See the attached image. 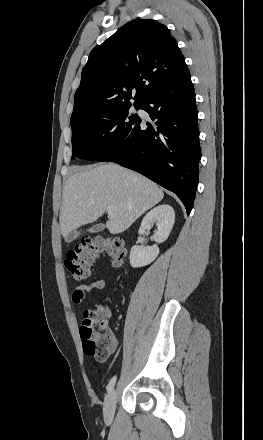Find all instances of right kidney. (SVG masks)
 <instances>
[{
    "mask_svg": "<svg viewBox=\"0 0 263 440\" xmlns=\"http://www.w3.org/2000/svg\"><path fill=\"white\" fill-rule=\"evenodd\" d=\"M174 221V209L167 204L159 205L145 215L138 233L140 235L144 234L155 222L157 225V231L153 235V240L156 244L147 247L134 245L131 248L129 259L133 268L146 266L156 259L159 254V247L157 244L167 240L173 228Z\"/></svg>",
    "mask_w": 263,
    "mask_h": 440,
    "instance_id": "ca27d5eb",
    "label": "right kidney"
}]
</instances>
